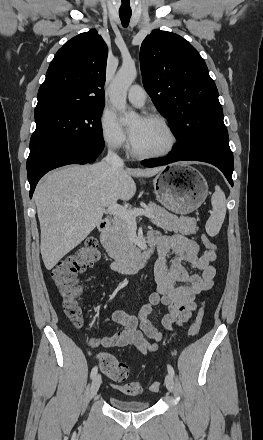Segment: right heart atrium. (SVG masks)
<instances>
[{
    "mask_svg": "<svg viewBox=\"0 0 263 440\" xmlns=\"http://www.w3.org/2000/svg\"><path fill=\"white\" fill-rule=\"evenodd\" d=\"M100 134L104 144L113 150H120L127 146V137L111 112H104L100 118Z\"/></svg>",
    "mask_w": 263,
    "mask_h": 440,
    "instance_id": "right-heart-atrium-1",
    "label": "right heart atrium"
}]
</instances>
